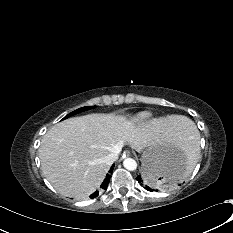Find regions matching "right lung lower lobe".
Wrapping results in <instances>:
<instances>
[{"mask_svg": "<svg viewBox=\"0 0 233 233\" xmlns=\"http://www.w3.org/2000/svg\"><path fill=\"white\" fill-rule=\"evenodd\" d=\"M113 166H114V165H112L111 169L109 170V173H112V171H113ZM109 181H110V174H107V176H106V178L104 179V181L102 182L100 188L103 189V190H106L107 187H108ZM97 196H98V192L96 191V192H94L92 195H90V198H95V197H97Z\"/></svg>", "mask_w": 233, "mask_h": 233, "instance_id": "1", "label": "right lung lower lobe"}]
</instances>
